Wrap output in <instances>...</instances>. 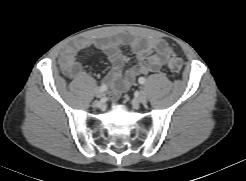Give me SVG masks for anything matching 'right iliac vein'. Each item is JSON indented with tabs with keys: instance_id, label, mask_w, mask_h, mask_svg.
<instances>
[{
	"instance_id": "1",
	"label": "right iliac vein",
	"mask_w": 246,
	"mask_h": 181,
	"mask_svg": "<svg viewBox=\"0 0 246 181\" xmlns=\"http://www.w3.org/2000/svg\"><path fill=\"white\" fill-rule=\"evenodd\" d=\"M103 95H104V94H103V91H101L100 88H97L96 91H95V96H96L97 98H102Z\"/></svg>"
}]
</instances>
